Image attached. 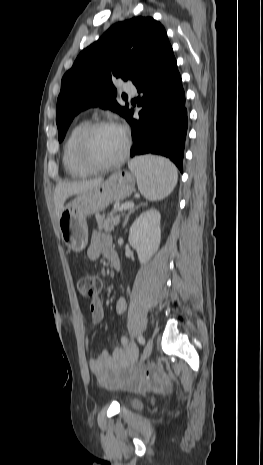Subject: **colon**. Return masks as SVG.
Listing matches in <instances>:
<instances>
[{
    "label": "colon",
    "instance_id": "5ec220e1",
    "mask_svg": "<svg viewBox=\"0 0 263 465\" xmlns=\"http://www.w3.org/2000/svg\"><path fill=\"white\" fill-rule=\"evenodd\" d=\"M77 287L83 299L92 303L101 290L102 282L97 276L85 275L78 280Z\"/></svg>",
    "mask_w": 263,
    "mask_h": 465
}]
</instances>
